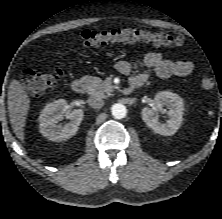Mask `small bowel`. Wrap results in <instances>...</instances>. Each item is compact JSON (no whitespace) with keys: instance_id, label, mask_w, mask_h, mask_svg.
Wrapping results in <instances>:
<instances>
[{"instance_id":"small-bowel-1","label":"small bowel","mask_w":222,"mask_h":219,"mask_svg":"<svg viewBox=\"0 0 222 219\" xmlns=\"http://www.w3.org/2000/svg\"><path fill=\"white\" fill-rule=\"evenodd\" d=\"M151 68L160 78H169L171 76H187L192 73L194 65L191 61L181 59H168L159 52H149L145 54L135 64L125 60H119L115 63V68L123 75L129 76L130 83L143 84L147 77L144 73L133 75L134 68Z\"/></svg>"}]
</instances>
